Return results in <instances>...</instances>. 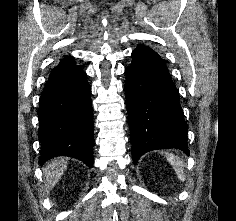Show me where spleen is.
<instances>
[{"mask_svg":"<svg viewBox=\"0 0 236 221\" xmlns=\"http://www.w3.org/2000/svg\"><path fill=\"white\" fill-rule=\"evenodd\" d=\"M165 157L174 168L178 178L181 181H185L186 179V176L184 173L185 163L178 156H175L172 153H166Z\"/></svg>","mask_w":236,"mask_h":221,"instance_id":"1","label":"spleen"}]
</instances>
